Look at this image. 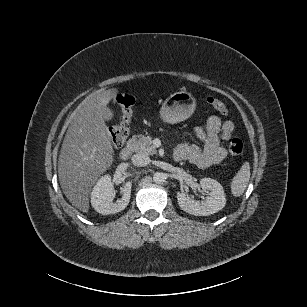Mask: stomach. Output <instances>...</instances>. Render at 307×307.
Here are the masks:
<instances>
[{
	"label": "stomach",
	"mask_w": 307,
	"mask_h": 307,
	"mask_svg": "<svg viewBox=\"0 0 307 307\" xmlns=\"http://www.w3.org/2000/svg\"><path fill=\"white\" fill-rule=\"evenodd\" d=\"M196 109V99L186 91L171 94L163 102L160 118L168 124H177L187 120Z\"/></svg>",
	"instance_id": "stomach-1"
}]
</instances>
